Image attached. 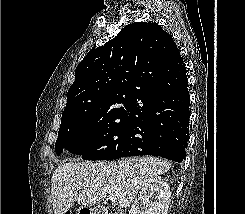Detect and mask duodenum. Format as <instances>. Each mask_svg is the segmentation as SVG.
<instances>
[{"mask_svg": "<svg viewBox=\"0 0 245 214\" xmlns=\"http://www.w3.org/2000/svg\"><path fill=\"white\" fill-rule=\"evenodd\" d=\"M83 214H106V211L103 208H91L86 209V212Z\"/></svg>", "mask_w": 245, "mask_h": 214, "instance_id": "duodenum-1", "label": "duodenum"}]
</instances>
